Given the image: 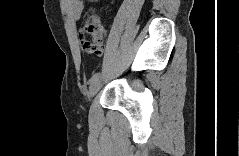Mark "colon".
Wrapping results in <instances>:
<instances>
[{
	"label": "colon",
	"mask_w": 239,
	"mask_h": 156,
	"mask_svg": "<svg viewBox=\"0 0 239 156\" xmlns=\"http://www.w3.org/2000/svg\"><path fill=\"white\" fill-rule=\"evenodd\" d=\"M84 33L90 34L93 38L92 42L88 41L85 38V41L82 44L84 51L88 53H92L96 51L98 48V45L102 43L103 34L100 29L97 16L93 10L89 11L87 19L82 25L81 34L83 35Z\"/></svg>",
	"instance_id": "obj_1"
}]
</instances>
